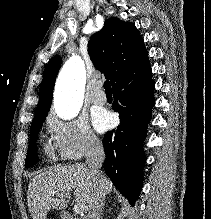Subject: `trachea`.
<instances>
[{"mask_svg": "<svg viewBox=\"0 0 211 219\" xmlns=\"http://www.w3.org/2000/svg\"><path fill=\"white\" fill-rule=\"evenodd\" d=\"M104 89L106 92H111L110 82L108 80L104 82Z\"/></svg>", "mask_w": 211, "mask_h": 219, "instance_id": "3493384b", "label": "trachea"}]
</instances>
